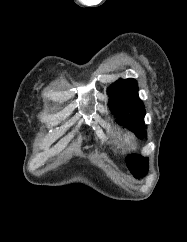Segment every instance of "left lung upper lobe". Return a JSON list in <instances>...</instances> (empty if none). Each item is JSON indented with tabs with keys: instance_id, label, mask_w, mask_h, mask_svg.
<instances>
[{
	"instance_id": "left-lung-upper-lobe-1",
	"label": "left lung upper lobe",
	"mask_w": 187,
	"mask_h": 242,
	"mask_svg": "<svg viewBox=\"0 0 187 242\" xmlns=\"http://www.w3.org/2000/svg\"><path fill=\"white\" fill-rule=\"evenodd\" d=\"M109 107L121 125L133 131L140 139L146 137L145 106L138 97L137 82L133 78L119 79L108 88ZM131 173L140 178L148 172V158L130 155L126 158Z\"/></svg>"
}]
</instances>
